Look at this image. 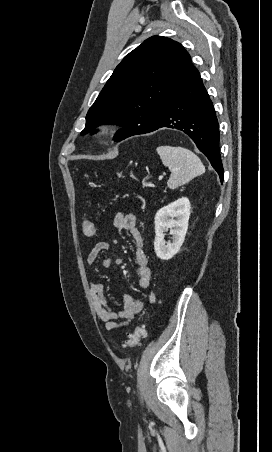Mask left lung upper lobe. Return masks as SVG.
I'll return each mask as SVG.
<instances>
[{"mask_svg":"<svg viewBox=\"0 0 272 452\" xmlns=\"http://www.w3.org/2000/svg\"><path fill=\"white\" fill-rule=\"evenodd\" d=\"M192 66L190 55L178 42L162 36L145 40L116 67L89 109L81 135L103 124H117L123 126L115 136L118 142L151 127Z\"/></svg>","mask_w":272,"mask_h":452,"instance_id":"obj_1","label":"left lung upper lobe"}]
</instances>
